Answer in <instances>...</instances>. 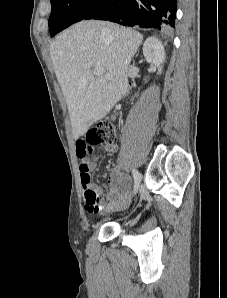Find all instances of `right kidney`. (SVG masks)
<instances>
[{"label": "right kidney", "instance_id": "obj_1", "mask_svg": "<svg viewBox=\"0 0 227 298\" xmlns=\"http://www.w3.org/2000/svg\"><path fill=\"white\" fill-rule=\"evenodd\" d=\"M143 55L147 62L158 68V74H161L162 65L165 61V50L162 42L155 37L147 38L143 45Z\"/></svg>", "mask_w": 227, "mask_h": 298}]
</instances>
